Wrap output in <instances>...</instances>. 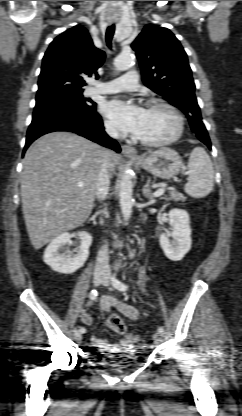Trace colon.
Instances as JSON below:
<instances>
[{
    "label": "colon",
    "mask_w": 242,
    "mask_h": 416,
    "mask_svg": "<svg viewBox=\"0 0 242 416\" xmlns=\"http://www.w3.org/2000/svg\"><path fill=\"white\" fill-rule=\"evenodd\" d=\"M107 327L110 331L126 336L128 339L132 340V337L129 335L125 322L118 315H110L107 319Z\"/></svg>",
    "instance_id": "5ec220e1"
}]
</instances>
